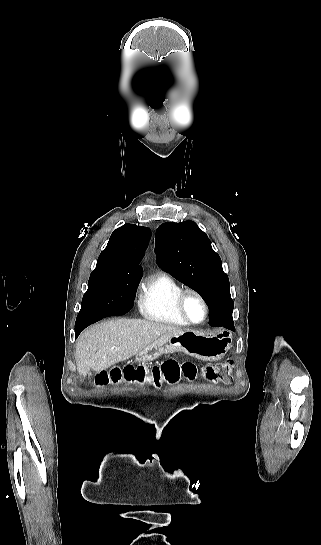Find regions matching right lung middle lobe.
<instances>
[{
  "label": "right lung middle lobe",
  "mask_w": 321,
  "mask_h": 545,
  "mask_svg": "<svg viewBox=\"0 0 321 545\" xmlns=\"http://www.w3.org/2000/svg\"><path fill=\"white\" fill-rule=\"evenodd\" d=\"M138 284L139 281L119 279L107 273H91L76 322L102 318L108 303L121 295H134Z\"/></svg>",
  "instance_id": "right-lung-middle-lobe-1"
}]
</instances>
